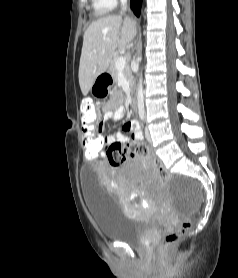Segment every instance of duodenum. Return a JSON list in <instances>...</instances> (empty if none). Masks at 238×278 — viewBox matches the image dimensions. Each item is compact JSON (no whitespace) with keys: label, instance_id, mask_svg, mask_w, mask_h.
<instances>
[{"label":"duodenum","instance_id":"duodenum-1","mask_svg":"<svg viewBox=\"0 0 238 278\" xmlns=\"http://www.w3.org/2000/svg\"><path fill=\"white\" fill-rule=\"evenodd\" d=\"M131 104H132L133 108L135 109L137 106V103H136V95L134 93L131 96Z\"/></svg>","mask_w":238,"mask_h":278}]
</instances>
